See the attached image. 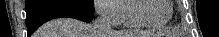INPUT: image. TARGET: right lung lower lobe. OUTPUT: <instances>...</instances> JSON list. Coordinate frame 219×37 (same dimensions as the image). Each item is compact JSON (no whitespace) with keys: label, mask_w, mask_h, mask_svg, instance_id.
Instances as JSON below:
<instances>
[{"label":"right lung lower lobe","mask_w":219,"mask_h":37,"mask_svg":"<svg viewBox=\"0 0 219 37\" xmlns=\"http://www.w3.org/2000/svg\"><path fill=\"white\" fill-rule=\"evenodd\" d=\"M92 0H26V26L30 36L40 25L54 18L70 17L90 22Z\"/></svg>","instance_id":"98d812e1"}]
</instances>
